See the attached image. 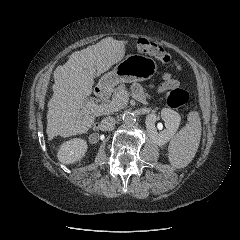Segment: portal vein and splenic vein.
I'll return each instance as SVG.
<instances>
[{
    "mask_svg": "<svg viewBox=\"0 0 240 240\" xmlns=\"http://www.w3.org/2000/svg\"><path fill=\"white\" fill-rule=\"evenodd\" d=\"M122 98L120 97L118 100H112L109 103H104L100 105H96L94 101H88L84 106H82V112H106V111H116L118 110V106Z\"/></svg>",
    "mask_w": 240,
    "mask_h": 240,
    "instance_id": "obj_1",
    "label": "portal vein and splenic vein"
}]
</instances>
